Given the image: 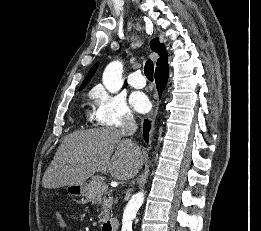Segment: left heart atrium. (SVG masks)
<instances>
[{"mask_svg": "<svg viewBox=\"0 0 261 231\" xmlns=\"http://www.w3.org/2000/svg\"><path fill=\"white\" fill-rule=\"evenodd\" d=\"M130 103L132 107L139 113H145L150 108V101L148 97L142 92H133L130 95Z\"/></svg>", "mask_w": 261, "mask_h": 231, "instance_id": "left-heart-atrium-1", "label": "left heart atrium"}]
</instances>
